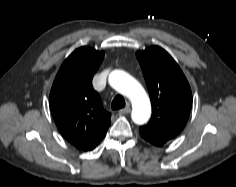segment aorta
Listing matches in <instances>:
<instances>
[{"instance_id": "762f6f07", "label": "aorta", "mask_w": 236, "mask_h": 187, "mask_svg": "<svg viewBox=\"0 0 236 187\" xmlns=\"http://www.w3.org/2000/svg\"><path fill=\"white\" fill-rule=\"evenodd\" d=\"M109 84L132 102V119L135 123L143 124L149 119L150 100L138 81L124 71L116 70L109 75Z\"/></svg>"}]
</instances>
